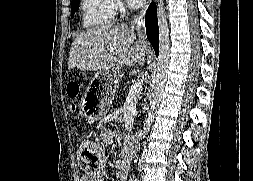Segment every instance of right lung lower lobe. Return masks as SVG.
<instances>
[{
    "mask_svg": "<svg viewBox=\"0 0 253 181\" xmlns=\"http://www.w3.org/2000/svg\"><path fill=\"white\" fill-rule=\"evenodd\" d=\"M147 38L151 42L156 55L159 51V32L157 22V9L156 4L151 3L145 16Z\"/></svg>",
    "mask_w": 253,
    "mask_h": 181,
    "instance_id": "98d812e1",
    "label": "right lung lower lobe"
}]
</instances>
